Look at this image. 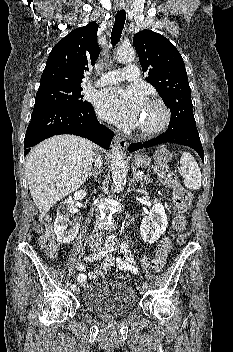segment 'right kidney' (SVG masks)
Segmentation results:
<instances>
[{
	"mask_svg": "<svg viewBox=\"0 0 233 352\" xmlns=\"http://www.w3.org/2000/svg\"><path fill=\"white\" fill-rule=\"evenodd\" d=\"M87 193L85 190H79L75 192L74 197H69L65 200L64 204L66 205V210L58 211L57 217L54 223V232L57 236V240L61 243H70L76 237L80 224L73 223L70 225V228L67 229L69 222V213L72 208L74 201L83 200L86 197ZM74 199V200H73Z\"/></svg>",
	"mask_w": 233,
	"mask_h": 352,
	"instance_id": "ca27d5eb",
	"label": "right kidney"
}]
</instances>
